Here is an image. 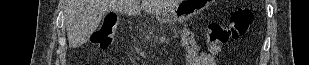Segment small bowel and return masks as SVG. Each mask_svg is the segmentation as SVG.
<instances>
[{"instance_id": "c3829d8e", "label": "small bowel", "mask_w": 309, "mask_h": 65, "mask_svg": "<svg viewBox=\"0 0 309 65\" xmlns=\"http://www.w3.org/2000/svg\"><path fill=\"white\" fill-rule=\"evenodd\" d=\"M184 45L186 47L185 65H216V57L222 51V47L219 44H209V52L199 54L198 44L192 32H188L184 37Z\"/></svg>"}]
</instances>
